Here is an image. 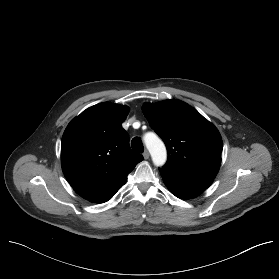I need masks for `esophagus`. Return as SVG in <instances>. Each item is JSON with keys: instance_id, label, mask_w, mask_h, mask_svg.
I'll return each instance as SVG.
<instances>
[{"instance_id": "34e87169", "label": "esophagus", "mask_w": 279, "mask_h": 279, "mask_svg": "<svg viewBox=\"0 0 279 279\" xmlns=\"http://www.w3.org/2000/svg\"><path fill=\"white\" fill-rule=\"evenodd\" d=\"M149 156H150L149 152L147 150H145V152L143 153L144 159L147 160L149 158Z\"/></svg>"}]
</instances>
